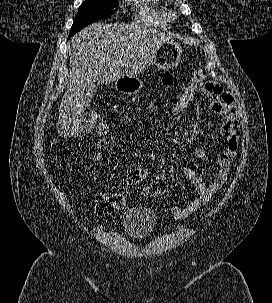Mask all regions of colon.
<instances>
[{
    "instance_id": "colon-1",
    "label": "colon",
    "mask_w": 272,
    "mask_h": 303,
    "mask_svg": "<svg viewBox=\"0 0 272 303\" xmlns=\"http://www.w3.org/2000/svg\"><path fill=\"white\" fill-rule=\"evenodd\" d=\"M206 74L203 70L194 72L191 81L178 94L170 111V118L178 120L181 114L192 102L196 91L201 83H203ZM95 131L98 134L94 141L90 159H96L101 149L106 145L105 134L107 133L106 124L96 117H89L81 122L80 133ZM167 189V179L163 173H157L153 181L144 188L143 195L145 197H157L165 193ZM125 206V197L121 193H103L96 197L94 210L98 216H108L113 212Z\"/></svg>"
}]
</instances>
